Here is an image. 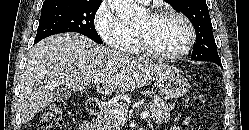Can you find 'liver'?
I'll return each instance as SVG.
<instances>
[{
  "label": "liver",
  "instance_id": "1",
  "mask_svg": "<svg viewBox=\"0 0 249 130\" xmlns=\"http://www.w3.org/2000/svg\"><path fill=\"white\" fill-rule=\"evenodd\" d=\"M171 70L97 45L79 33L50 36L28 53L20 82L21 121L28 123L49 106L58 87L81 91L100 79L105 91L124 93L146 86Z\"/></svg>",
  "mask_w": 249,
  "mask_h": 130
}]
</instances>
